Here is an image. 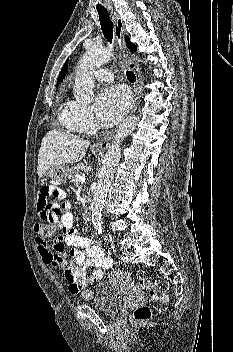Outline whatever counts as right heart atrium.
I'll return each instance as SVG.
<instances>
[{"label":"right heart atrium","instance_id":"right-heart-atrium-1","mask_svg":"<svg viewBox=\"0 0 233 352\" xmlns=\"http://www.w3.org/2000/svg\"><path fill=\"white\" fill-rule=\"evenodd\" d=\"M72 106L79 131L86 132L92 129L94 126V117L92 111L89 108L79 105L75 102H72Z\"/></svg>","mask_w":233,"mask_h":352}]
</instances>
